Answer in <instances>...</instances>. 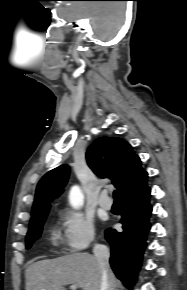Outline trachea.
Returning a JSON list of instances; mask_svg holds the SVG:
<instances>
[{"label":"trachea","instance_id":"1","mask_svg":"<svg viewBox=\"0 0 187 290\" xmlns=\"http://www.w3.org/2000/svg\"><path fill=\"white\" fill-rule=\"evenodd\" d=\"M113 197H114L115 201H118V192L117 191H114Z\"/></svg>","mask_w":187,"mask_h":290}]
</instances>
